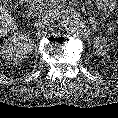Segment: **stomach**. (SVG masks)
Wrapping results in <instances>:
<instances>
[{
  "instance_id": "1",
  "label": "stomach",
  "mask_w": 118,
  "mask_h": 118,
  "mask_svg": "<svg viewBox=\"0 0 118 118\" xmlns=\"http://www.w3.org/2000/svg\"><path fill=\"white\" fill-rule=\"evenodd\" d=\"M100 13L109 16L116 6V0H95Z\"/></svg>"
}]
</instances>
